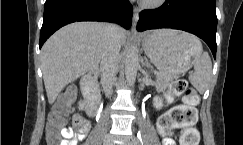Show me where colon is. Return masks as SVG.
Masks as SVG:
<instances>
[{"label":"colon","mask_w":243,"mask_h":145,"mask_svg":"<svg viewBox=\"0 0 243 145\" xmlns=\"http://www.w3.org/2000/svg\"><path fill=\"white\" fill-rule=\"evenodd\" d=\"M179 95H182L184 104L175 106L163 114L157 122L158 130L162 135H168L174 129H181V145H199V132L194 128L197 113L193 107L198 100L197 93L192 87H189L186 80L178 78L171 83L167 100L170 101L172 96ZM72 99V91L65 93L59 98L54 110L50 113L46 126L48 145H61V133ZM74 126L80 132L89 128L87 122L82 118H77Z\"/></svg>","instance_id":"obj_1"}]
</instances>
